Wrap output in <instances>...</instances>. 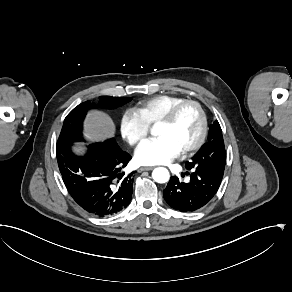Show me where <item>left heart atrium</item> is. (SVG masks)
I'll list each match as a JSON object with an SVG mask.
<instances>
[{"label":"left heart atrium","instance_id":"39dd6f15","mask_svg":"<svg viewBox=\"0 0 292 292\" xmlns=\"http://www.w3.org/2000/svg\"><path fill=\"white\" fill-rule=\"evenodd\" d=\"M181 149L169 137L156 136L144 140L135 151V160L142 165L165 164L179 156Z\"/></svg>","mask_w":292,"mask_h":292}]
</instances>
